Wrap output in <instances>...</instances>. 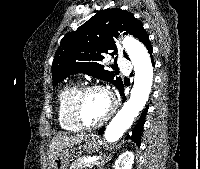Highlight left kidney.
Returning <instances> with one entry per match:
<instances>
[{"instance_id": "5707ae66", "label": "left kidney", "mask_w": 200, "mask_h": 169, "mask_svg": "<svg viewBox=\"0 0 200 169\" xmlns=\"http://www.w3.org/2000/svg\"><path fill=\"white\" fill-rule=\"evenodd\" d=\"M134 163V154L131 151H126L121 154L114 163V169H132Z\"/></svg>"}]
</instances>
